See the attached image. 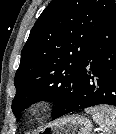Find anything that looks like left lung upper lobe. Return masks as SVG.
Instances as JSON below:
<instances>
[{
  "label": "left lung upper lobe",
  "instance_id": "5c2ea615",
  "mask_svg": "<svg viewBox=\"0 0 116 134\" xmlns=\"http://www.w3.org/2000/svg\"><path fill=\"white\" fill-rule=\"evenodd\" d=\"M113 0H52L31 29L15 74L12 111L53 101L54 115L74 96L89 45Z\"/></svg>",
  "mask_w": 116,
  "mask_h": 134
}]
</instances>
